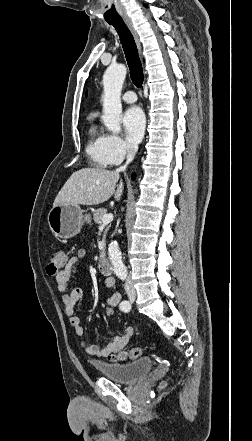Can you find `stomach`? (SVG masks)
<instances>
[{
    "label": "stomach",
    "mask_w": 252,
    "mask_h": 441,
    "mask_svg": "<svg viewBox=\"0 0 252 441\" xmlns=\"http://www.w3.org/2000/svg\"><path fill=\"white\" fill-rule=\"evenodd\" d=\"M47 221L49 227L56 237L69 239L78 234L85 222H90L89 214L79 205H56L48 213Z\"/></svg>",
    "instance_id": "stomach-1"
}]
</instances>
